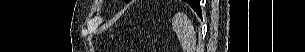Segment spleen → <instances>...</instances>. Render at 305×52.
<instances>
[{"instance_id":"1","label":"spleen","mask_w":305,"mask_h":52,"mask_svg":"<svg viewBox=\"0 0 305 52\" xmlns=\"http://www.w3.org/2000/svg\"><path fill=\"white\" fill-rule=\"evenodd\" d=\"M172 24H173V29L176 31L177 35H178V38H179V35H180V29L182 27H185L186 25V19L184 16L182 15H178V16H175L172 20ZM191 26V24H190ZM190 31H191V34L192 36L194 37L195 36V32L193 30V27H190ZM180 40V39H179ZM180 43L182 45V48L183 50H185V44L183 41L180 40Z\"/></svg>"}]
</instances>
